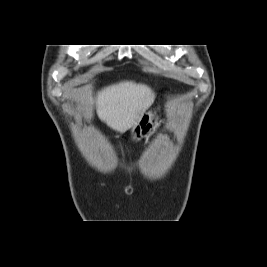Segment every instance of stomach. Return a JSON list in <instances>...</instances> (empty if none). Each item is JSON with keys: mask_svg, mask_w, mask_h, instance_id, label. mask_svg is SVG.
Wrapping results in <instances>:
<instances>
[{"mask_svg": "<svg viewBox=\"0 0 267 267\" xmlns=\"http://www.w3.org/2000/svg\"><path fill=\"white\" fill-rule=\"evenodd\" d=\"M159 125L160 121L158 116L156 115V111H146L132 126V140H140L143 137L148 138L156 131Z\"/></svg>", "mask_w": 267, "mask_h": 267, "instance_id": "stomach-1", "label": "stomach"}]
</instances>
